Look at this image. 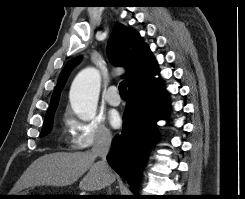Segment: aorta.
Segmentation results:
<instances>
[{
  "label": "aorta",
  "instance_id": "obj_1",
  "mask_svg": "<svg viewBox=\"0 0 245 199\" xmlns=\"http://www.w3.org/2000/svg\"><path fill=\"white\" fill-rule=\"evenodd\" d=\"M100 92V75L95 68L82 70L74 79L70 90V103L82 120L95 117Z\"/></svg>",
  "mask_w": 245,
  "mask_h": 199
}]
</instances>
